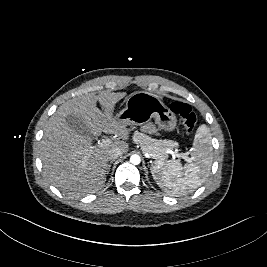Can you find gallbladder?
<instances>
[{"label":"gallbladder","mask_w":267,"mask_h":267,"mask_svg":"<svg viewBox=\"0 0 267 267\" xmlns=\"http://www.w3.org/2000/svg\"><path fill=\"white\" fill-rule=\"evenodd\" d=\"M67 122L69 126L78 134L82 136H89L92 137L89 130L86 128V126L83 124V122L80 120L79 117L75 115H69L67 118Z\"/></svg>","instance_id":"gallbladder-1"}]
</instances>
